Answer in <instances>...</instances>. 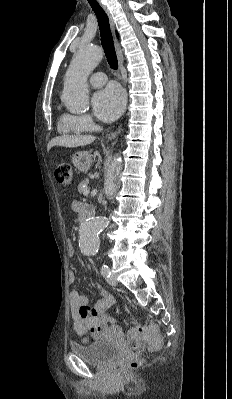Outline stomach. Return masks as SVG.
I'll use <instances>...</instances> for the list:
<instances>
[{
  "mask_svg": "<svg viewBox=\"0 0 232 399\" xmlns=\"http://www.w3.org/2000/svg\"><path fill=\"white\" fill-rule=\"evenodd\" d=\"M72 162L79 172L86 174L91 166L92 156L89 152H76L72 156Z\"/></svg>",
  "mask_w": 232,
  "mask_h": 399,
  "instance_id": "1",
  "label": "stomach"
}]
</instances>
